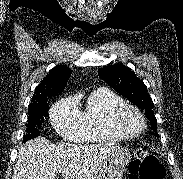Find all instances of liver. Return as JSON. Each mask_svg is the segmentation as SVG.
Returning <instances> with one entry per match:
<instances>
[{
	"label": "liver",
	"mask_w": 183,
	"mask_h": 179,
	"mask_svg": "<svg viewBox=\"0 0 183 179\" xmlns=\"http://www.w3.org/2000/svg\"><path fill=\"white\" fill-rule=\"evenodd\" d=\"M114 143L75 145L50 143L38 137L26 142L18 152L12 179H95Z\"/></svg>",
	"instance_id": "1"
}]
</instances>
